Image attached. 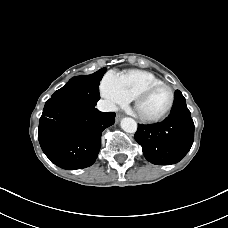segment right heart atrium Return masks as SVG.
Listing matches in <instances>:
<instances>
[{"label":"right heart atrium","mask_w":228,"mask_h":228,"mask_svg":"<svg viewBox=\"0 0 228 228\" xmlns=\"http://www.w3.org/2000/svg\"><path fill=\"white\" fill-rule=\"evenodd\" d=\"M100 93L110 110H114L118 106H124L130 101V98L121 88L117 76L113 73H107L102 78Z\"/></svg>","instance_id":"right-heart-atrium-1"}]
</instances>
